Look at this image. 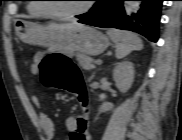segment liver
Wrapping results in <instances>:
<instances>
[{
	"mask_svg": "<svg viewBox=\"0 0 182 140\" xmlns=\"http://www.w3.org/2000/svg\"><path fill=\"white\" fill-rule=\"evenodd\" d=\"M83 26L82 24H79L77 22L72 23H65V24H51L47 26V29H74Z\"/></svg>",
	"mask_w": 182,
	"mask_h": 140,
	"instance_id": "6515ba94",
	"label": "liver"
}]
</instances>
